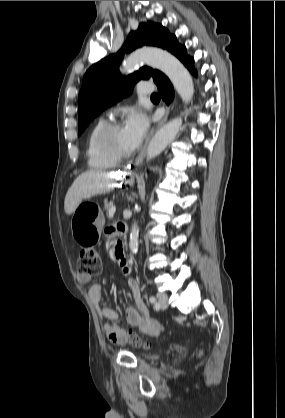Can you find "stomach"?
Returning a JSON list of instances; mask_svg holds the SVG:
<instances>
[{
    "mask_svg": "<svg viewBox=\"0 0 285 418\" xmlns=\"http://www.w3.org/2000/svg\"><path fill=\"white\" fill-rule=\"evenodd\" d=\"M125 175L126 182L131 183L133 181L134 174L132 172H127ZM97 217L101 218L100 211ZM70 226L74 239L83 246H85L87 241L97 239L101 233V227L95 224V221L92 220L91 214L84 211L81 204L74 211Z\"/></svg>",
    "mask_w": 285,
    "mask_h": 418,
    "instance_id": "stomach-1",
    "label": "stomach"
}]
</instances>
